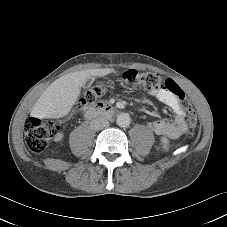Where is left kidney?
Wrapping results in <instances>:
<instances>
[{"instance_id": "left-kidney-1", "label": "left kidney", "mask_w": 227, "mask_h": 227, "mask_svg": "<svg viewBox=\"0 0 227 227\" xmlns=\"http://www.w3.org/2000/svg\"><path fill=\"white\" fill-rule=\"evenodd\" d=\"M161 142H162L164 148H167L169 140L167 138L163 137V138H161Z\"/></svg>"}]
</instances>
